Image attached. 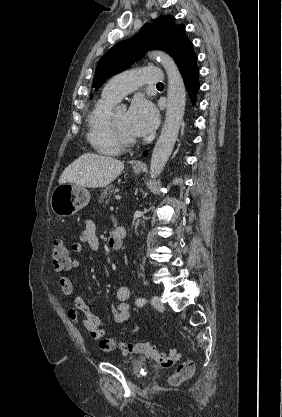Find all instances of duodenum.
<instances>
[{
	"label": "duodenum",
	"instance_id": "duodenum-1",
	"mask_svg": "<svg viewBox=\"0 0 282 417\" xmlns=\"http://www.w3.org/2000/svg\"><path fill=\"white\" fill-rule=\"evenodd\" d=\"M125 235H126V230H125V228H124L123 226H119V227H117V229H116V231H115L114 238H115V240L117 241V245H116V247H117L118 249H119V248H121L122 241H123V239L125 238ZM113 246H115V244H114ZM114 249H116V248H114Z\"/></svg>",
	"mask_w": 282,
	"mask_h": 417
}]
</instances>
